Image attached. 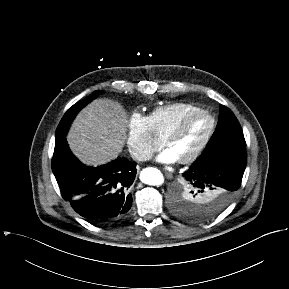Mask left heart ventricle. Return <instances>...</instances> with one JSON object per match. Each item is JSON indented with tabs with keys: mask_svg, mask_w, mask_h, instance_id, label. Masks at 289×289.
<instances>
[{
	"mask_svg": "<svg viewBox=\"0 0 289 289\" xmlns=\"http://www.w3.org/2000/svg\"><path fill=\"white\" fill-rule=\"evenodd\" d=\"M209 126L210 120L206 116L199 115L194 117L188 123L182 135L169 143L168 148L178 159L186 156L202 140Z\"/></svg>",
	"mask_w": 289,
	"mask_h": 289,
	"instance_id": "left-heart-ventricle-1",
	"label": "left heart ventricle"
}]
</instances>
